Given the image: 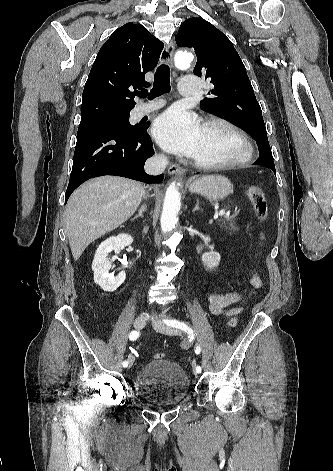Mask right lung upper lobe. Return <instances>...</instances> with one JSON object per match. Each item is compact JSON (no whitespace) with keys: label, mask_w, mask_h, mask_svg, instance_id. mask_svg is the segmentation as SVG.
<instances>
[{"label":"right lung upper lobe","mask_w":333,"mask_h":471,"mask_svg":"<svg viewBox=\"0 0 333 471\" xmlns=\"http://www.w3.org/2000/svg\"><path fill=\"white\" fill-rule=\"evenodd\" d=\"M163 47L140 24L130 22L117 29L101 47L89 73L81 120L133 109L135 90L147 87L145 74L155 68Z\"/></svg>","instance_id":"cb5924a9"}]
</instances>
